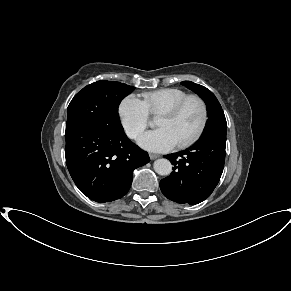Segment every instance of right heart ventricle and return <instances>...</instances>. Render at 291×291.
Here are the masks:
<instances>
[{
    "mask_svg": "<svg viewBox=\"0 0 291 291\" xmlns=\"http://www.w3.org/2000/svg\"><path fill=\"white\" fill-rule=\"evenodd\" d=\"M187 95L189 94L186 91L178 88H163L145 92L141 95V98L148 114L159 116Z\"/></svg>",
    "mask_w": 291,
    "mask_h": 291,
    "instance_id": "1",
    "label": "right heart ventricle"
}]
</instances>
